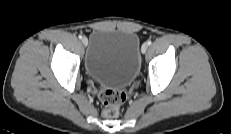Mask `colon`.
Instances as JSON below:
<instances>
[{"label":"colon","instance_id":"obj_1","mask_svg":"<svg viewBox=\"0 0 231 134\" xmlns=\"http://www.w3.org/2000/svg\"><path fill=\"white\" fill-rule=\"evenodd\" d=\"M99 97L103 105V115L113 118L118 115L120 107L126 99V94L120 90L104 89L100 92Z\"/></svg>","mask_w":231,"mask_h":134}]
</instances>
